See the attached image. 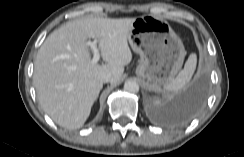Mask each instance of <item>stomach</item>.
I'll list each match as a JSON object with an SVG mask.
<instances>
[{"mask_svg": "<svg viewBox=\"0 0 244 157\" xmlns=\"http://www.w3.org/2000/svg\"><path fill=\"white\" fill-rule=\"evenodd\" d=\"M128 41L140 55L136 74L151 87L165 86L182 68L186 51L166 20L153 15L135 18Z\"/></svg>", "mask_w": 244, "mask_h": 157, "instance_id": "1", "label": "stomach"}]
</instances>
